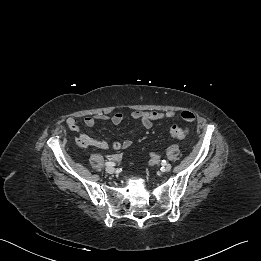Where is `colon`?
Instances as JSON below:
<instances>
[{
    "label": "colon",
    "mask_w": 261,
    "mask_h": 261,
    "mask_svg": "<svg viewBox=\"0 0 261 261\" xmlns=\"http://www.w3.org/2000/svg\"><path fill=\"white\" fill-rule=\"evenodd\" d=\"M169 133L174 139L183 140L189 136L190 129L188 127L171 125L169 128Z\"/></svg>",
    "instance_id": "obj_1"
}]
</instances>
